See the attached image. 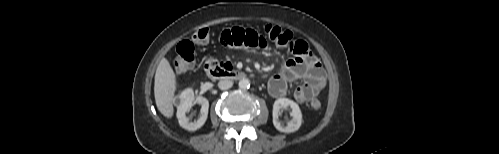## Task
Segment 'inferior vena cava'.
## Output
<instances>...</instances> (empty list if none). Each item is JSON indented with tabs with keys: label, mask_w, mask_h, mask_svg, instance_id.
Segmentation results:
<instances>
[{
	"label": "inferior vena cava",
	"mask_w": 499,
	"mask_h": 154,
	"mask_svg": "<svg viewBox=\"0 0 499 154\" xmlns=\"http://www.w3.org/2000/svg\"><path fill=\"white\" fill-rule=\"evenodd\" d=\"M232 85H233V82L228 78L222 79L218 83V87L221 90H227V89L231 88Z\"/></svg>",
	"instance_id": "obj_1"
}]
</instances>
